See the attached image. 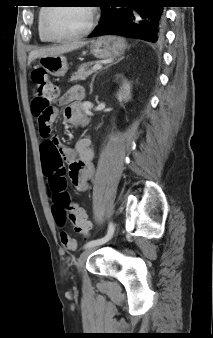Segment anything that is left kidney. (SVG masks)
<instances>
[{"label": "left kidney", "instance_id": "obj_1", "mask_svg": "<svg viewBox=\"0 0 213 338\" xmlns=\"http://www.w3.org/2000/svg\"><path fill=\"white\" fill-rule=\"evenodd\" d=\"M117 96L119 101H128L130 99V85L124 84Z\"/></svg>", "mask_w": 213, "mask_h": 338}]
</instances>
